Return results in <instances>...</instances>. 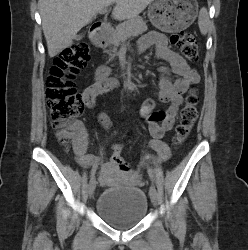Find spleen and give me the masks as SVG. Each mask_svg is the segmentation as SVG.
Instances as JSON below:
<instances>
[{"label":"spleen","mask_w":248,"mask_h":250,"mask_svg":"<svg viewBox=\"0 0 248 250\" xmlns=\"http://www.w3.org/2000/svg\"><path fill=\"white\" fill-rule=\"evenodd\" d=\"M198 25L202 35H206L209 27V15L205 7L199 12Z\"/></svg>","instance_id":"spleen-1"}]
</instances>
